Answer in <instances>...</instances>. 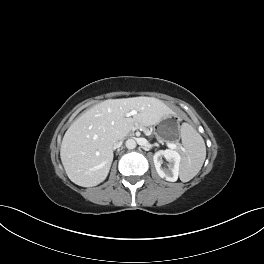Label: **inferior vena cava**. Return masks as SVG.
I'll use <instances>...</instances> for the list:
<instances>
[{
	"instance_id": "602c4592",
	"label": "inferior vena cava",
	"mask_w": 264,
	"mask_h": 264,
	"mask_svg": "<svg viewBox=\"0 0 264 264\" xmlns=\"http://www.w3.org/2000/svg\"><path fill=\"white\" fill-rule=\"evenodd\" d=\"M122 145V141L121 139L117 140L114 145H113V149H117Z\"/></svg>"
}]
</instances>
